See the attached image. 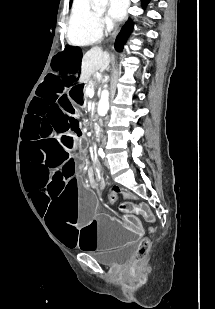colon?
Returning a JSON list of instances; mask_svg holds the SVG:
<instances>
[{"label":"colon","mask_w":215,"mask_h":309,"mask_svg":"<svg viewBox=\"0 0 215 309\" xmlns=\"http://www.w3.org/2000/svg\"><path fill=\"white\" fill-rule=\"evenodd\" d=\"M117 197V191L112 190L109 194V199L114 202ZM150 249V241L147 238L141 239L137 243L136 258L138 261H145Z\"/></svg>","instance_id":"colon-1"}]
</instances>
